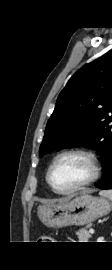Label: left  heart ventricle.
<instances>
[{"instance_id":"b2bd125f","label":"left heart ventricle","mask_w":112,"mask_h":270,"mask_svg":"<svg viewBox=\"0 0 112 270\" xmlns=\"http://www.w3.org/2000/svg\"><path fill=\"white\" fill-rule=\"evenodd\" d=\"M90 174V164L84 157L68 155L53 168L51 181L58 190H68L85 181Z\"/></svg>"}]
</instances>
